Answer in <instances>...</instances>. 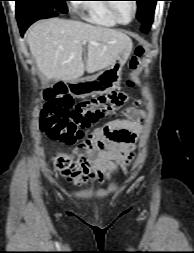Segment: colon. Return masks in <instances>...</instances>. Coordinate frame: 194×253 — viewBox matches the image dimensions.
Segmentation results:
<instances>
[{
    "label": "colon",
    "mask_w": 194,
    "mask_h": 253,
    "mask_svg": "<svg viewBox=\"0 0 194 253\" xmlns=\"http://www.w3.org/2000/svg\"><path fill=\"white\" fill-rule=\"evenodd\" d=\"M144 48L138 46L130 62L132 69L137 68ZM128 88L134 86L127 81ZM45 104L41 117V128L53 139L65 144H74L83 137V130L106 116L120 110L128 100L127 90H116L73 105V100L63 85L45 92ZM55 166L62 171L71 166L70 157L63 153L54 155Z\"/></svg>",
    "instance_id": "1"
}]
</instances>
